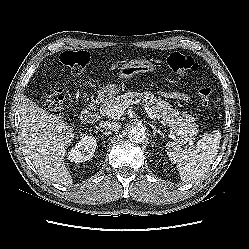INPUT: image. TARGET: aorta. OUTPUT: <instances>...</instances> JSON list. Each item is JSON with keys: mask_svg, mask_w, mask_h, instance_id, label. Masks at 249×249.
<instances>
[{"mask_svg": "<svg viewBox=\"0 0 249 249\" xmlns=\"http://www.w3.org/2000/svg\"><path fill=\"white\" fill-rule=\"evenodd\" d=\"M145 137H146V132L141 127H133L128 132V138L133 143H141L144 141Z\"/></svg>", "mask_w": 249, "mask_h": 249, "instance_id": "762f6f07", "label": "aorta"}]
</instances>
